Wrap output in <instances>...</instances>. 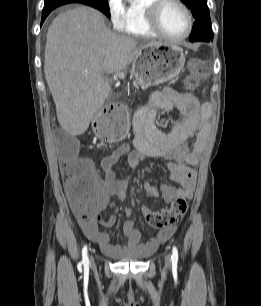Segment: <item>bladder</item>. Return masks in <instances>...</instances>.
Segmentation results:
<instances>
[{
	"instance_id": "obj_1",
	"label": "bladder",
	"mask_w": 261,
	"mask_h": 306,
	"mask_svg": "<svg viewBox=\"0 0 261 306\" xmlns=\"http://www.w3.org/2000/svg\"><path fill=\"white\" fill-rule=\"evenodd\" d=\"M145 255L143 254H123L119 256V261L123 262H140L145 259Z\"/></svg>"
}]
</instances>
